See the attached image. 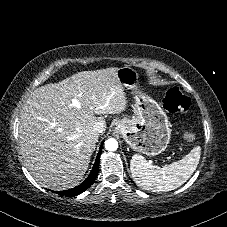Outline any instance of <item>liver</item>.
Here are the masks:
<instances>
[{"mask_svg":"<svg viewBox=\"0 0 227 227\" xmlns=\"http://www.w3.org/2000/svg\"><path fill=\"white\" fill-rule=\"evenodd\" d=\"M118 69L78 72L31 93L20 115L19 139L25 164L41 186L66 190L83 179L99 138L93 125L105 124L96 115L127 107Z\"/></svg>","mask_w":227,"mask_h":227,"instance_id":"liver-1","label":"liver"}]
</instances>
